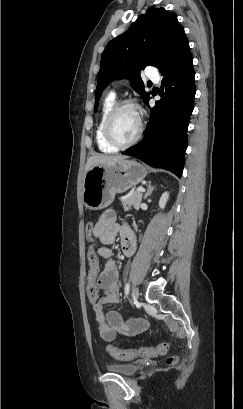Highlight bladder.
I'll return each instance as SVG.
<instances>
[{
    "label": "bladder",
    "mask_w": 243,
    "mask_h": 409,
    "mask_svg": "<svg viewBox=\"0 0 243 409\" xmlns=\"http://www.w3.org/2000/svg\"><path fill=\"white\" fill-rule=\"evenodd\" d=\"M107 369L110 372L119 374L121 376L131 377L139 370V365L135 363L133 364H109L107 365Z\"/></svg>",
    "instance_id": "bladder-1"
}]
</instances>
